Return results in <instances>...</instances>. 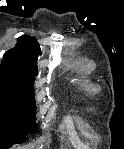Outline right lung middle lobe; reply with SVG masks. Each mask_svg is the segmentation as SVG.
Segmentation results:
<instances>
[{"label": "right lung middle lobe", "instance_id": "1", "mask_svg": "<svg viewBox=\"0 0 124 149\" xmlns=\"http://www.w3.org/2000/svg\"><path fill=\"white\" fill-rule=\"evenodd\" d=\"M33 88L0 79V144H19L37 130Z\"/></svg>", "mask_w": 124, "mask_h": 149}]
</instances>
